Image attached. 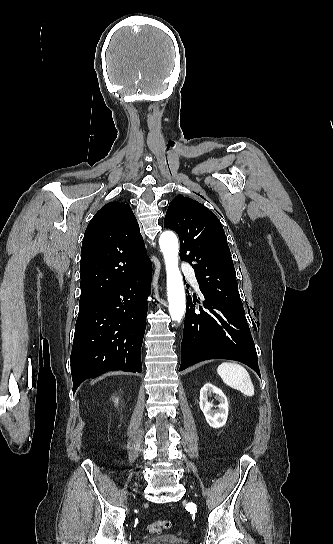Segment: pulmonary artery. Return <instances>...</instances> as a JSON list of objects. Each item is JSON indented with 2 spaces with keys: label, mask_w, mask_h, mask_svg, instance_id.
Wrapping results in <instances>:
<instances>
[{
  "label": "pulmonary artery",
  "mask_w": 333,
  "mask_h": 544,
  "mask_svg": "<svg viewBox=\"0 0 333 544\" xmlns=\"http://www.w3.org/2000/svg\"><path fill=\"white\" fill-rule=\"evenodd\" d=\"M182 271L184 273V275L191 281L192 285L194 287H197L198 284H197V281H196V277H195V272L193 270V268L187 264H184L182 266Z\"/></svg>",
  "instance_id": "1"
}]
</instances>
